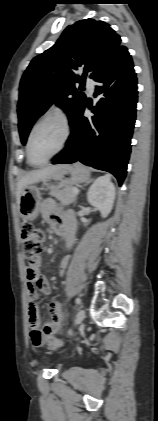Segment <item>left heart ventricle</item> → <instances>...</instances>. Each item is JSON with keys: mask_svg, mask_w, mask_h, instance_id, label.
<instances>
[{"mask_svg": "<svg viewBox=\"0 0 158 421\" xmlns=\"http://www.w3.org/2000/svg\"><path fill=\"white\" fill-rule=\"evenodd\" d=\"M63 139V127L58 120L49 119L41 123L34 131L30 155L35 163L51 156L60 146Z\"/></svg>", "mask_w": 158, "mask_h": 421, "instance_id": "obj_1", "label": "left heart ventricle"}]
</instances>
